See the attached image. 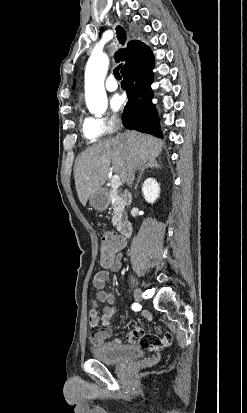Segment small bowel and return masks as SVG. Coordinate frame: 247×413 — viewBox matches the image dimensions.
Returning a JSON list of instances; mask_svg holds the SVG:
<instances>
[{
  "mask_svg": "<svg viewBox=\"0 0 247 413\" xmlns=\"http://www.w3.org/2000/svg\"><path fill=\"white\" fill-rule=\"evenodd\" d=\"M117 252L113 260L107 266H104V269L99 270L95 274L92 281L97 293L96 300L93 302L88 313V324L91 329L95 330L92 337L93 345L95 347H102L103 349H111L113 346L110 340L111 333L107 328L111 325V320L116 312L115 296L106 291V284L109 280L110 273L117 272L122 267L121 254ZM99 303L105 304L102 312L99 310ZM142 314L147 320L151 319L149 311L144 310ZM99 326L105 329H97ZM152 329L158 330L159 324L153 323ZM127 336L129 341H132L133 338H143V340L136 342V347L141 349H166L168 343H172L174 340L172 334H164L163 330H158L157 334H146V331L142 329L141 323H136L135 329H129ZM122 342L121 339L115 340L117 344H121Z\"/></svg>",
  "mask_w": 247,
  "mask_h": 413,
  "instance_id": "c3829d8e",
  "label": "small bowel"
}]
</instances>
